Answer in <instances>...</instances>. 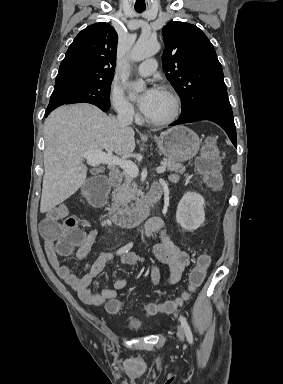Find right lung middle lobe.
Returning a JSON list of instances; mask_svg holds the SVG:
<instances>
[{"instance_id": "obj_1", "label": "right lung middle lobe", "mask_w": 283, "mask_h": 384, "mask_svg": "<svg viewBox=\"0 0 283 384\" xmlns=\"http://www.w3.org/2000/svg\"><path fill=\"white\" fill-rule=\"evenodd\" d=\"M112 79L69 83L54 87L48 108L63 104L87 102L96 106H110V86Z\"/></svg>"}]
</instances>
